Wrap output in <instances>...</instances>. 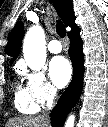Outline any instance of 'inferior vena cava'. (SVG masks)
Here are the masks:
<instances>
[{
	"instance_id": "602c4592",
	"label": "inferior vena cava",
	"mask_w": 108,
	"mask_h": 127,
	"mask_svg": "<svg viewBox=\"0 0 108 127\" xmlns=\"http://www.w3.org/2000/svg\"><path fill=\"white\" fill-rule=\"evenodd\" d=\"M56 95V90L54 88H50L47 94V108L50 110L53 107L54 99ZM43 121H47L50 123L49 115L47 113H43L41 115Z\"/></svg>"
}]
</instances>
